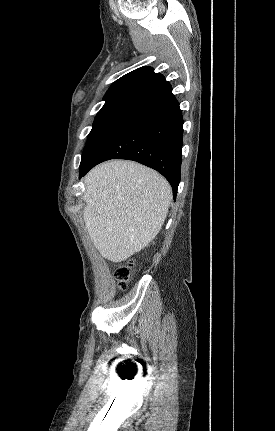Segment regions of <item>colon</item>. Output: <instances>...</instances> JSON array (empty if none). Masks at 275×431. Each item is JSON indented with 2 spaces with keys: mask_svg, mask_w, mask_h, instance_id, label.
<instances>
[{
  "mask_svg": "<svg viewBox=\"0 0 275 431\" xmlns=\"http://www.w3.org/2000/svg\"><path fill=\"white\" fill-rule=\"evenodd\" d=\"M132 263L121 265L115 270L116 285L119 290L123 291L127 288V284L132 277Z\"/></svg>",
  "mask_w": 275,
  "mask_h": 431,
  "instance_id": "5ec220e1",
  "label": "colon"
}]
</instances>
